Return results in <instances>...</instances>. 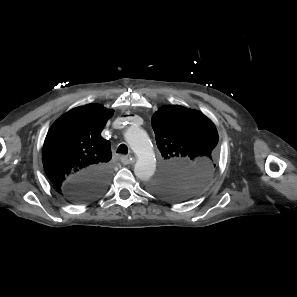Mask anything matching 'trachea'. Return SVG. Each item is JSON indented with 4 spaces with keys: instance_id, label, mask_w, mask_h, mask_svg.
<instances>
[{
    "instance_id": "trachea-1",
    "label": "trachea",
    "mask_w": 297,
    "mask_h": 297,
    "mask_svg": "<svg viewBox=\"0 0 297 297\" xmlns=\"http://www.w3.org/2000/svg\"><path fill=\"white\" fill-rule=\"evenodd\" d=\"M117 153L127 154L128 147L125 144H121L117 149Z\"/></svg>"
}]
</instances>
